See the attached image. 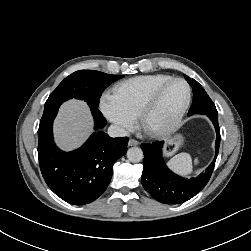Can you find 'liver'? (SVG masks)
Wrapping results in <instances>:
<instances>
[{
    "label": "liver",
    "instance_id": "6515ba94",
    "mask_svg": "<svg viewBox=\"0 0 251 251\" xmlns=\"http://www.w3.org/2000/svg\"><path fill=\"white\" fill-rule=\"evenodd\" d=\"M93 119L88 105L80 100H69L59 110L54 121L57 145L66 151L79 147L90 135Z\"/></svg>",
    "mask_w": 251,
    "mask_h": 251
}]
</instances>
